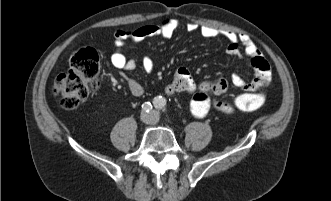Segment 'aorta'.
Returning a JSON list of instances; mask_svg holds the SVG:
<instances>
[{
	"label": "aorta",
	"mask_w": 331,
	"mask_h": 201,
	"mask_svg": "<svg viewBox=\"0 0 331 201\" xmlns=\"http://www.w3.org/2000/svg\"><path fill=\"white\" fill-rule=\"evenodd\" d=\"M155 106H157V107H162V106H164V103H163L162 100H160V99H156V101H155Z\"/></svg>",
	"instance_id": "aorta-1"
}]
</instances>
